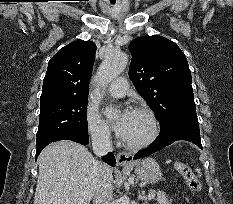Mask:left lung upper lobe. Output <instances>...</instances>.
<instances>
[{"mask_svg":"<svg viewBox=\"0 0 233 204\" xmlns=\"http://www.w3.org/2000/svg\"><path fill=\"white\" fill-rule=\"evenodd\" d=\"M129 77L155 112L161 130L179 122L198 123L187 59L162 36L134 39Z\"/></svg>","mask_w":233,"mask_h":204,"instance_id":"1","label":"left lung upper lobe"}]
</instances>
